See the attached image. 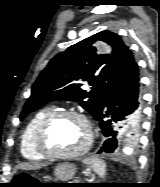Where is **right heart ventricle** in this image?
Returning <instances> with one entry per match:
<instances>
[{
  "instance_id": "right-heart-ventricle-1",
  "label": "right heart ventricle",
  "mask_w": 160,
  "mask_h": 187,
  "mask_svg": "<svg viewBox=\"0 0 160 187\" xmlns=\"http://www.w3.org/2000/svg\"><path fill=\"white\" fill-rule=\"evenodd\" d=\"M53 111V107L42 108L35 112L26 124L20 143L21 153L26 159L39 161L46 158L37 147L36 134L40 123Z\"/></svg>"
}]
</instances>
